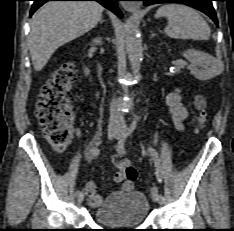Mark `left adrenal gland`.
<instances>
[{
    "instance_id": "obj_1",
    "label": "left adrenal gland",
    "mask_w": 234,
    "mask_h": 231,
    "mask_svg": "<svg viewBox=\"0 0 234 231\" xmlns=\"http://www.w3.org/2000/svg\"><path fill=\"white\" fill-rule=\"evenodd\" d=\"M150 32H151L150 38L152 39L153 37L156 36V34L152 30Z\"/></svg>"
}]
</instances>
